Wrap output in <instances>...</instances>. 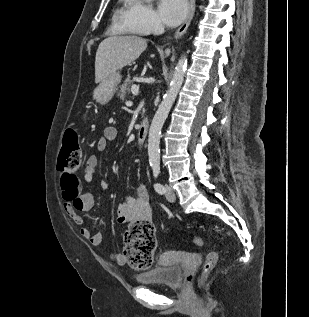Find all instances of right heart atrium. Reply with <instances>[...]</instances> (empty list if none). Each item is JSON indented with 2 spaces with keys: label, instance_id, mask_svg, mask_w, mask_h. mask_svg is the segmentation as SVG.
<instances>
[{
  "label": "right heart atrium",
  "instance_id": "obj_1",
  "mask_svg": "<svg viewBox=\"0 0 309 317\" xmlns=\"http://www.w3.org/2000/svg\"><path fill=\"white\" fill-rule=\"evenodd\" d=\"M123 23L129 30L141 35L157 31L162 27L153 7L144 0H127Z\"/></svg>",
  "mask_w": 309,
  "mask_h": 317
}]
</instances>
